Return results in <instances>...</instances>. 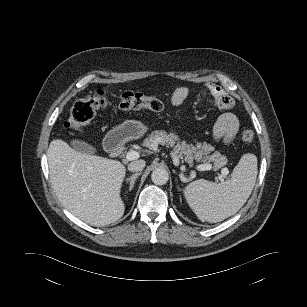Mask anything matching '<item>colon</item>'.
I'll return each mask as SVG.
<instances>
[{
	"label": "colon",
	"mask_w": 307,
	"mask_h": 307,
	"mask_svg": "<svg viewBox=\"0 0 307 307\" xmlns=\"http://www.w3.org/2000/svg\"><path fill=\"white\" fill-rule=\"evenodd\" d=\"M114 104L123 110L148 109L151 111H161L164 108L163 101L156 96H148L137 92H125L117 100H114L106 92L97 91L77 100L73 104L69 118L64 126L68 129L81 131L91 122L99 110ZM240 138L245 143H251L255 138V133L251 129H244L240 133Z\"/></svg>",
	"instance_id": "colon-1"
}]
</instances>
